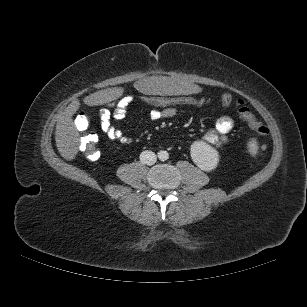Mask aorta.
<instances>
[{
  "instance_id": "1",
  "label": "aorta",
  "mask_w": 307,
  "mask_h": 307,
  "mask_svg": "<svg viewBox=\"0 0 307 307\" xmlns=\"http://www.w3.org/2000/svg\"><path fill=\"white\" fill-rule=\"evenodd\" d=\"M158 158L161 161H165L169 158V154L167 151L161 150L158 152Z\"/></svg>"
}]
</instances>
